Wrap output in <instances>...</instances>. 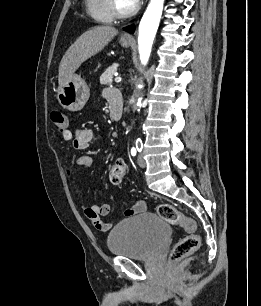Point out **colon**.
<instances>
[{"mask_svg": "<svg viewBox=\"0 0 261 306\" xmlns=\"http://www.w3.org/2000/svg\"><path fill=\"white\" fill-rule=\"evenodd\" d=\"M50 118L57 131L64 132L67 129V118L60 109H52ZM125 173V161L123 159L116 160L110 168V181L115 185L120 184ZM157 214L168 224L182 228L187 234L174 246L170 255L171 262L181 260L199 247L200 238L196 233L197 226L193 218L185 215L175 206L167 203H162L157 206Z\"/></svg>", "mask_w": 261, "mask_h": 306, "instance_id": "5ec220e1", "label": "colon"}]
</instances>
